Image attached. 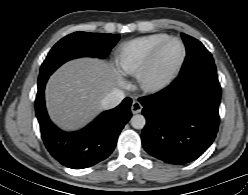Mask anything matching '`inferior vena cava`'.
Listing matches in <instances>:
<instances>
[{"instance_id": "inferior-vena-cava-1", "label": "inferior vena cava", "mask_w": 248, "mask_h": 195, "mask_svg": "<svg viewBox=\"0 0 248 195\" xmlns=\"http://www.w3.org/2000/svg\"><path fill=\"white\" fill-rule=\"evenodd\" d=\"M125 98L124 91L114 88L102 100L101 107L103 109H111L116 107Z\"/></svg>"}]
</instances>
